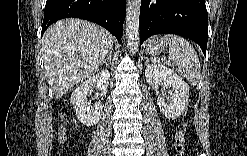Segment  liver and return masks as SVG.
Listing matches in <instances>:
<instances>
[{
	"instance_id": "obj_1",
	"label": "liver",
	"mask_w": 247,
	"mask_h": 156,
	"mask_svg": "<svg viewBox=\"0 0 247 156\" xmlns=\"http://www.w3.org/2000/svg\"><path fill=\"white\" fill-rule=\"evenodd\" d=\"M114 37L104 28L80 19H64L43 35L44 71L56 99L94 75L112 48Z\"/></svg>"
}]
</instances>
